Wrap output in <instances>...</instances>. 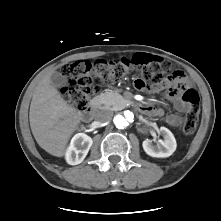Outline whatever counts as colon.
<instances>
[{
    "label": "colon",
    "mask_w": 221,
    "mask_h": 221,
    "mask_svg": "<svg viewBox=\"0 0 221 221\" xmlns=\"http://www.w3.org/2000/svg\"><path fill=\"white\" fill-rule=\"evenodd\" d=\"M131 68H135L140 78L136 81L139 89L162 84L165 75L170 71V64L159 56L136 54L131 60H105L95 62L80 60L68 64L63 72L67 84L62 89L63 99L71 106L86 110L91 94V85L94 79L121 78ZM181 98L188 104L189 110L183 125V133L192 135L197 127L200 101L194 88L177 84Z\"/></svg>",
    "instance_id": "1"
}]
</instances>
